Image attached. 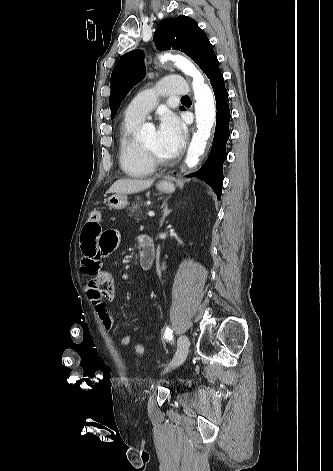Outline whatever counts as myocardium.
Returning <instances> with one entry per match:
<instances>
[{
	"label": "myocardium",
	"instance_id": "myocardium-1",
	"mask_svg": "<svg viewBox=\"0 0 333 471\" xmlns=\"http://www.w3.org/2000/svg\"><path fill=\"white\" fill-rule=\"evenodd\" d=\"M141 148L144 151L145 155L147 158L150 160V162L156 166V165H168L171 161L169 159H163L157 156L153 151H151L149 148H147L142 142H141Z\"/></svg>",
	"mask_w": 333,
	"mask_h": 471
}]
</instances>
